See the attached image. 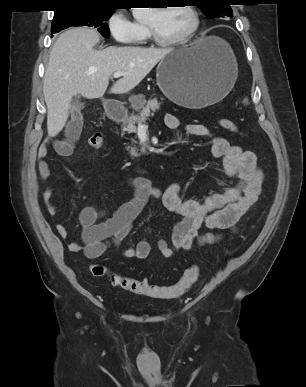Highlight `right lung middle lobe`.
Wrapping results in <instances>:
<instances>
[{
	"label": "right lung middle lobe",
	"instance_id": "dd1d6c3e",
	"mask_svg": "<svg viewBox=\"0 0 306 387\" xmlns=\"http://www.w3.org/2000/svg\"><path fill=\"white\" fill-rule=\"evenodd\" d=\"M114 9L107 8H70L54 14L51 33L60 32L71 26H89L97 28L101 35L109 38L106 21L112 16Z\"/></svg>",
	"mask_w": 306,
	"mask_h": 387
}]
</instances>
